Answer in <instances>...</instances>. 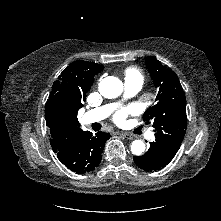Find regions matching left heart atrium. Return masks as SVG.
I'll return each mask as SVG.
<instances>
[{"instance_id": "1", "label": "left heart atrium", "mask_w": 221, "mask_h": 221, "mask_svg": "<svg viewBox=\"0 0 221 221\" xmlns=\"http://www.w3.org/2000/svg\"><path fill=\"white\" fill-rule=\"evenodd\" d=\"M134 112H135L134 107H129V108L119 111L114 117L115 122L118 124H122L124 122L125 118L127 117V115L130 113H134Z\"/></svg>"}]
</instances>
